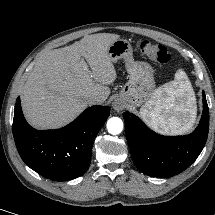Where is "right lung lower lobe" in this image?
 <instances>
[{
  "label": "right lung lower lobe",
  "mask_w": 215,
  "mask_h": 215,
  "mask_svg": "<svg viewBox=\"0 0 215 215\" xmlns=\"http://www.w3.org/2000/svg\"><path fill=\"white\" fill-rule=\"evenodd\" d=\"M109 114L108 106H92L61 129L36 130L26 122L18 97L13 119L17 150L26 165L48 179L77 178L88 169L94 139Z\"/></svg>",
  "instance_id": "1"
}]
</instances>
